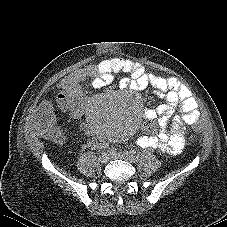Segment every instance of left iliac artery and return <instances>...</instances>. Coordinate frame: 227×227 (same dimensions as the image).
Instances as JSON below:
<instances>
[{
    "mask_svg": "<svg viewBox=\"0 0 227 227\" xmlns=\"http://www.w3.org/2000/svg\"><path fill=\"white\" fill-rule=\"evenodd\" d=\"M129 153H130V154H132V155H134V154H135V152H134V151H129Z\"/></svg>",
    "mask_w": 227,
    "mask_h": 227,
    "instance_id": "left-iliac-artery-1",
    "label": "left iliac artery"
}]
</instances>
